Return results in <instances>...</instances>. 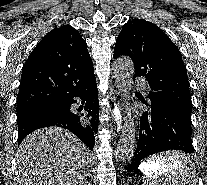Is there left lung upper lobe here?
Returning a JSON list of instances; mask_svg holds the SVG:
<instances>
[{
    "label": "left lung upper lobe",
    "mask_w": 207,
    "mask_h": 185,
    "mask_svg": "<svg viewBox=\"0 0 207 185\" xmlns=\"http://www.w3.org/2000/svg\"><path fill=\"white\" fill-rule=\"evenodd\" d=\"M127 55L135 77L143 76L151 91L148 102L168 105L191 121V95L181 53L156 25L144 19L124 24L116 40L114 58Z\"/></svg>",
    "instance_id": "obj_1"
}]
</instances>
